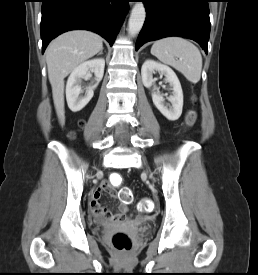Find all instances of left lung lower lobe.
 <instances>
[{
  "label": "left lung lower lobe",
  "instance_id": "left-lung-lower-lobe-1",
  "mask_svg": "<svg viewBox=\"0 0 258 275\" xmlns=\"http://www.w3.org/2000/svg\"><path fill=\"white\" fill-rule=\"evenodd\" d=\"M146 20L135 49L169 36L192 39L207 53L210 33L209 0H143Z\"/></svg>",
  "mask_w": 258,
  "mask_h": 275
}]
</instances>
